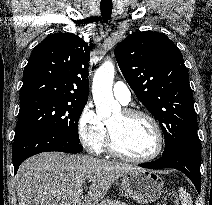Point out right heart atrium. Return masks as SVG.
I'll return each mask as SVG.
<instances>
[{
	"instance_id": "right-heart-atrium-1",
	"label": "right heart atrium",
	"mask_w": 212,
	"mask_h": 205,
	"mask_svg": "<svg viewBox=\"0 0 212 205\" xmlns=\"http://www.w3.org/2000/svg\"><path fill=\"white\" fill-rule=\"evenodd\" d=\"M77 135L81 144L88 150H100L106 139V127L91 105H86L77 121Z\"/></svg>"
}]
</instances>
